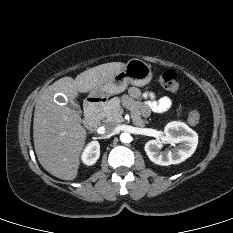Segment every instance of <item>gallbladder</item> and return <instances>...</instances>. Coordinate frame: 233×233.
Masks as SVG:
<instances>
[{"instance_id": "bac80fb5", "label": "gallbladder", "mask_w": 233, "mask_h": 233, "mask_svg": "<svg viewBox=\"0 0 233 233\" xmlns=\"http://www.w3.org/2000/svg\"><path fill=\"white\" fill-rule=\"evenodd\" d=\"M73 110H75L76 112H78L79 114L82 113L79 105H77L76 103H69L68 104Z\"/></svg>"}]
</instances>
